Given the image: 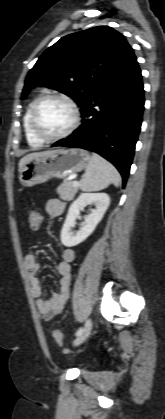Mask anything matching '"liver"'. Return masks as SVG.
<instances>
[{
    "label": "liver",
    "instance_id": "liver-1",
    "mask_svg": "<svg viewBox=\"0 0 165 419\" xmlns=\"http://www.w3.org/2000/svg\"><path fill=\"white\" fill-rule=\"evenodd\" d=\"M52 152H54V151L49 150V151H42V152H33V153L25 155L19 161V172H21V170L25 166V164L27 162H29L32 158H35V157H38V156H44V155L50 154Z\"/></svg>",
    "mask_w": 165,
    "mask_h": 419
}]
</instances>
